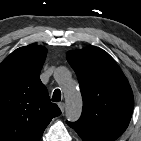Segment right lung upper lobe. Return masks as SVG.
I'll list each match as a JSON object with an SVG mask.
<instances>
[{
	"label": "right lung upper lobe",
	"instance_id": "cb5924a9",
	"mask_svg": "<svg viewBox=\"0 0 141 141\" xmlns=\"http://www.w3.org/2000/svg\"><path fill=\"white\" fill-rule=\"evenodd\" d=\"M46 54L45 47L31 44L0 64V141H39L61 114L39 78Z\"/></svg>",
	"mask_w": 141,
	"mask_h": 141
}]
</instances>
